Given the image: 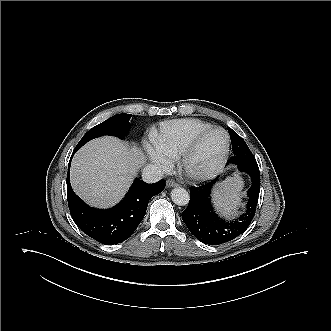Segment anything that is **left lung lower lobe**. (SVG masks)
<instances>
[{"instance_id":"left-lung-lower-lobe-1","label":"left lung lower lobe","mask_w":331,"mask_h":331,"mask_svg":"<svg viewBox=\"0 0 331 331\" xmlns=\"http://www.w3.org/2000/svg\"><path fill=\"white\" fill-rule=\"evenodd\" d=\"M232 148L236 147L231 140ZM239 170L249 175L252 186L247 194L249 202L246 212L236 221L224 222L213 211L210 202V191L217 178L190 189V202L182 212V219L189 231L202 243L219 245L242 234L250 225L258 203L260 191V172L258 166L238 164Z\"/></svg>"}]
</instances>
